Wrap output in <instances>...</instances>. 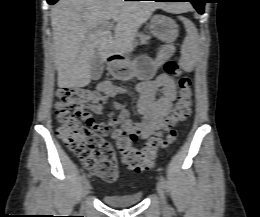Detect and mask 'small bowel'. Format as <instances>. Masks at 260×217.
I'll return each mask as SVG.
<instances>
[{"label":"small bowel","instance_id":"1","mask_svg":"<svg viewBox=\"0 0 260 217\" xmlns=\"http://www.w3.org/2000/svg\"><path fill=\"white\" fill-rule=\"evenodd\" d=\"M97 90L107 98H114L122 93H130L123 87L117 86L110 81H103L97 85ZM139 94L137 112L141 117L139 122L131 119V113L124 102H113V108L118 111L117 117L109 123L112 136L117 139L120 134L128 135L130 141L138 137L149 138L158 132L169 114L177 90L174 80L167 74H160L155 80L139 83L136 87ZM91 111L100 114L99 107H92ZM91 115L84 116L86 120Z\"/></svg>","mask_w":260,"mask_h":217}]
</instances>
